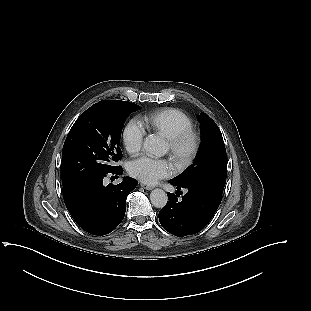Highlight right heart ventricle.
I'll return each mask as SVG.
<instances>
[{"label":"right heart ventricle","instance_id":"e07e8e85","mask_svg":"<svg viewBox=\"0 0 311 311\" xmlns=\"http://www.w3.org/2000/svg\"><path fill=\"white\" fill-rule=\"evenodd\" d=\"M145 123L153 132L166 139L183 130L192 129L191 118L177 108H165L154 112L146 117Z\"/></svg>","mask_w":311,"mask_h":311}]
</instances>
